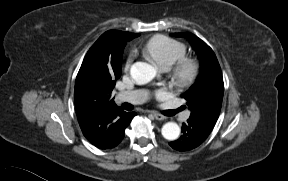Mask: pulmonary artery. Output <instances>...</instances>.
I'll return each instance as SVG.
<instances>
[{"mask_svg":"<svg viewBox=\"0 0 288 181\" xmlns=\"http://www.w3.org/2000/svg\"><path fill=\"white\" fill-rule=\"evenodd\" d=\"M168 68H163L167 70ZM148 97L147 92L143 90H124L118 93V100L122 102H128L132 104H139L144 102ZM189 118V113L183 115V119L187 120Z\"/></svg>","mask_w":288,"mask_h":181,"instance_id":"e3ab8cb5","label":"pulmonary artery"}]
</instances>
